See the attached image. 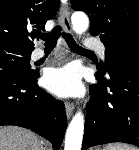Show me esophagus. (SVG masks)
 Returning <instances> with one entry per match:
<instances>
[{"label": "esophagus", "mask_w": 139, "mask_h": 150, "mask_svg": "<svg viewBox=\"0 0 139 150\" xmlns=\"http://www.w3.org/2000/svg\"><path fill=\"white\" fill-rule=\"evenodd\" d=\"M60 22L63 26L64 31L67 34H71L72 28L70 23V12L67 7H62L60 10ZM65 109H66L67 118L69 119L73 114L74 104L72 102L67 101L65 103Z\"/></svg>", "instance_id": "34e87169"}]
</instances>
